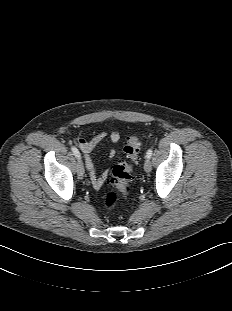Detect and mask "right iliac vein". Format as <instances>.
I'll use <instances>...</instances> for the list:
<instances>
[{"mask_svg": "<svg viewBox=\"0 0 232 311\" xmlns=\"http://www.w3.org/2000/svg\"><path fill=\"white\" fill-rule=\"evenodd\" d=\"M77 172H78L79 177L83 178L85 170H84V164L81 159H79L78 161Z\"/></svg>", "mask_w": 232, "mask_h": 311, "instance_id": "obj_1", "label": "right iliac vein"}]
</instances>
